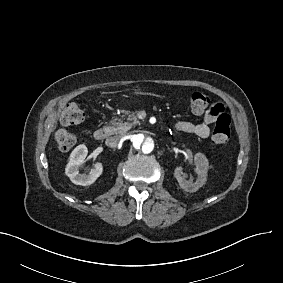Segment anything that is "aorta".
<instances>
[{"instance_id": "1", "label": "aorta", "mask_w": 283, "mask_h": 283, "mask_svg": "<svg viewBox=\"0 0 283 283\" xmlns=\"http://www.w3.org/2000/svg\"><path fill=\"white\" fill-rule=\"evenodd\" d=\"M156 149L155 139L145 131H140L130 137V151L138 156L150 155Z\"/></svg>"}]
</instances>
